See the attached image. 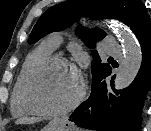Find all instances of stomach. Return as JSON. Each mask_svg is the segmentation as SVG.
Masks as SVG:
<instances>
[{
  "label": "stomach",
  "instance_id": "stomach-1",
  "mask_svg": "<svg viewBox=\"0 0 151 131\" xmlns=\"http://www.w3.org/2000/svg\"><path fill=\"white\" fill-rule=\"evenodd\" d=\"M41 131H79V130L71 122L62 119H54L51 122H49V124L46 125Z\"/></svg>",
  "mask_w": 151,
  "mask_h": 131
}]
</instances>
